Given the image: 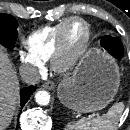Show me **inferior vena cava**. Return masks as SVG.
<instances>
[{
  "mask_svg": "<svg viewBox=\"0 0 130 130\" xmlns=\"http://www.w3.org/2000/svg\"><path fill=\"white\" fill-rule=\"evenodd\" d=\"M23 80L29 85L38 84L40 81V74L36 67L26 64L20 69Z\"/></svg>",
  "mask_w": 130,
  "mask_h": 130,
  "instance_id": "1",
  "label": "inferior vena cava"
}]
</instances>
